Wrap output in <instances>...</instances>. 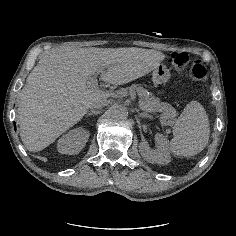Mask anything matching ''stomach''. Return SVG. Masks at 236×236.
<instances>
[{
    "label": "stomach",
    "mask_w": 236,
    "mask_h": 236,
    "mask_svg": "<svg viewBox=\"0 0 236 236\" xmlns=\"http://www.w3.org/2000/svg\"><path fill=\"white\" fill-rule=\"evenodd\" d=\"M170 78V72L166 66L160 65L152 73V81L154 85L165 84Z\"/></svg>",
    "instance_id": "1"
}]
</instances>
